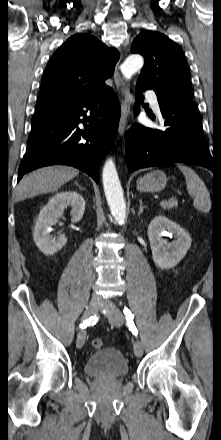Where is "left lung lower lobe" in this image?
<instances>
[{"label":"left lung lower lobe","mask_w":221,"mask_h":440,"mask_svg":"<svg viewBox=\"0 0 221 440\" xmlns=\"http://www.w3.org/2000/svg\"><path fill=\"white\" fill-rule=\"evenodd\" d=\"M150 88L137 83L134 113H139L143 91ZM165 121L162 130L134 124L126 138V161L130 171L170 162H186L214 172V159L202 131L197 111L158 98Z\"/></svg>","instance_id":"left-lung-lower-lobe-1"}]
</instances>
